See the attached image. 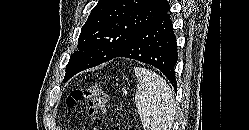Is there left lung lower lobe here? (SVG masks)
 <instances>
[{"instance_id":"0a47b994","label":"left lung lower lobe","mask_w":249,"mask_h":130,"mask_svg":"<svg viewBox=\"0 0 249 130\" xmlns=\"http://www.w3.org/2000/svg\"><path fill=\"white\" fill-rule=\"evenodd\" d=\"M116 57L135 59L158 68L174 89H177L174 72L178 59L177 44L168 12L134 35L113 56V58Z\"/></svg>"}]
</instances>
